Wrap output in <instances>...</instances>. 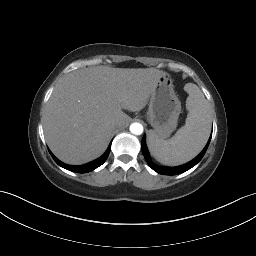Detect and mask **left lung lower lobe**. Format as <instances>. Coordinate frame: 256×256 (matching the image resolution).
I'll return each mask as SVG.
<instances>
[{
  "instance_id": "1",
  "label": "left lung lower lobe",
  "mask_w": 256,
  "mask_h": 256,
  "mask_svg": "<svg viewBox=\"0 0 256 256\" xmlns=\"http://www.w3.org/2000/svg\"><path fill=\"white\" fill-rule=\"evenodd\" d=\"M210 140H211V137L208 141V143L206 144V146L204 147V149L201 151V153L196 157L194 158L192 161H190L189 163L187 164H184L182 166H178V167H160V166H157L155 165L151 159H150V155H149V152H148V149H147V146H146V143H145V137H143L142 139V142H141V148H142V153L145 157V160L147 161L148 165L154 170L156 171L157 173L159 174H166V175H177V174H180V173H183L187 170H189L190 168H192L193 166H195L201 159L202 157L204 156L207 148H208V145L210 143Z\"/></svg>"
}]
</instances>
